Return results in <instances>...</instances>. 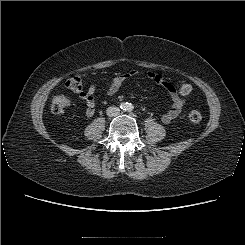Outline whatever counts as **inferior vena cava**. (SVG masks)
<instances>
[{
    "label": "inferior vena cava",
    "instance_id": "1",
    "mask_svg": "<svg viewBox=\"0 0 245 245\" xmlns=\"http://www.w3.org/2000/svg\"><path fill=\"white\" fill-rule=\"evenodd\" d=\"M108 116L113 117L117 116L120 113V109L118 107H108L106 110Z\"/></svg>",
    "mask_w": 245,
    "mask_h": 245
}]
</instances>
